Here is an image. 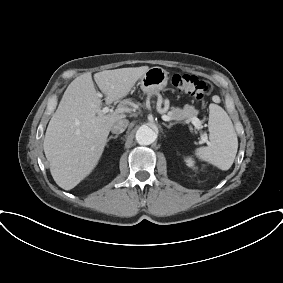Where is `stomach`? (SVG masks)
<instances>
[{"mask_svg":"<svg viewBox=\"0 0 283 283\" xmlns=\"http://www.w3.org/2000/svg\"><path fill=\"white\" fill-rule=\"evenodd\" d=\"M168 72L162 67L150 68L139 81L141 90L148 95L158 94L168 83Z\"/></svg>","mask_w":283,"mask_h":283,"instance_id":"stomach-1","label":"stomach"}]
</instances>
